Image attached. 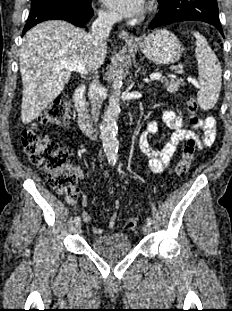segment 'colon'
Returning <instances> with one entry per match:
<instances>
[{
	"label": "colon",
	"mask_w": 232,
	"mask_h": 311,
	"mask_svg": "<svg viewBox=\"0 0 232 311\" xmlns=\"http://www.w3.org/2000/svg\"><path fill=\"white\" fill-rule=\"evenodd\" d=\"M199 104L195 97L190 96L186 100V111L191 122H197ZM72 119L71 102L67 96H58L46 108L41 120L44 123H51L57 126H65ZM21 139L30 160L44 174L49 177L50 183L58 192L73 196L75 186V175L67 168L68 153L59 144L48 137L40 134L36 126H29L22 130ZM197 148L195 139L187 140L183 147L182 154L175 167L178 176H184L190 169ZM138 226V219L131 217L126 219L125 227L135 230Z\"/></svg>",
	"instance_id": "colon-1"
}]
</instances>
